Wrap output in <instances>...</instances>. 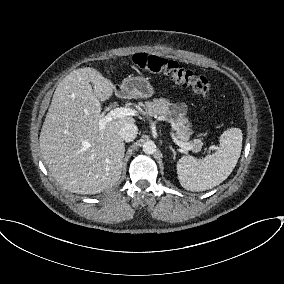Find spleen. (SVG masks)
<instances>
[{
    "label": "spleen",
    "mask_w": 284,
    "mask_h": 284,
    "mask_svg": "<svg viewBox=\"0 0 284 284\" xmlns=\"http://www.w3.org/2000/svg\"><path fill=\"white\" fill-rule=\"evenodd\" d=\"M243 134L239 128L225 130L220 136L218 150L204 159L183 156L177 162L178 179L183 188L189 191L211 189L232 173L242 150Z\"/></svg>",
    "instance_id": "3e777b00"
}]
</instances>
